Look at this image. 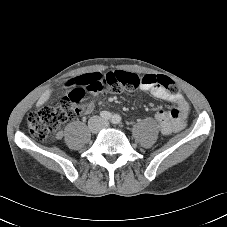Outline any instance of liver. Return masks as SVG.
I'll use <instances>...</instances> for the list:
<instances>
[{"label": "liver", "instance_id": "liver-1", "mask_svg": "<svg viewBox=\"0 0 227 227\" xmlns=\"http://www.w3.org/2000/svg\"><path fill=\"white\" fill-rule=\"evenodd\" d=\"M51 92H52L51 89H47V90L40 96V98H39V100H38L36 106L39 107V106L43 105V104L49 99V97H50V95H51Z\"/></svg>", "mask_w": 227, "mask_h": 227}]
</instances>
